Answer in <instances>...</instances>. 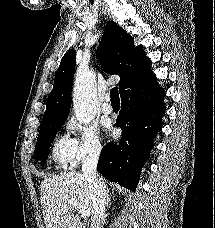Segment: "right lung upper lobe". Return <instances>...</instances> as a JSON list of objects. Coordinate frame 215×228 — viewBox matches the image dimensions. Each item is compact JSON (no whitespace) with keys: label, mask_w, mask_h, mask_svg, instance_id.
I'll list each match as a JSON object with an SVG mask.
<instances>
[{"label":"right lung upper lobe","mask_w":215,"mask_h":228,"mask_svg":"<svg viewBox=\"0 0 215 228\" xmlns=\"http://www.w3.org/2000/svg\"><path fill=\"white\" fill-rule=\"evenodd\" d=\"M75 56L76 52L72 49L61 60L53 89L47 98V107L41 126L65 122L68 117ZM97 58L105 71L120 76L118 83L120 95L123 94L130 81L153 74L150 67L151 61L146 56L143 47L141 45L135 47L133 37L114 21H109L105 26Z\"/></svg>","instance_id":"1"}]
</instances>
